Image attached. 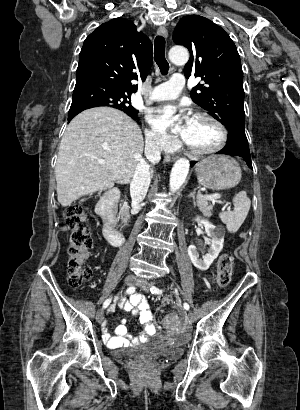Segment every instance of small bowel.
<instances>
[{
	"label": "small bowel",
	"instance_id": "obj_1",
	"mask_svg": "<svg viewBox=\"0 0 300 410\" xmlns=\"http://www.w3.org/2000/svg\"><path fill=\"white\" fill-rule=\"evenodd\" d=\"M124 311L131 312L138 317L139 322L143 325V330L136 337H131L124 323L118 325L114 335L104 329L103 338L110 348L127 346L131 343H140L146 341L150 336L157 333V326L154 323L153 314L149 310V304L145 296L134 294L128 300H121L118 305ZM116 305L110 306L109 311L114 312Z\"/></svg>",
	"mask_w": 300,
	"mask_h": 410
}]
</instances>
